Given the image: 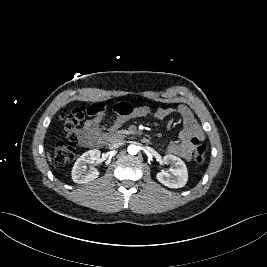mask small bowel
I'll return each instance as SVG.
<instances>
[{"label": "small bowel", "mask_w": 267, "mask_h": 267, "mask_svg": "<svg viewBox=\"0 0 267 267\" xmlns=\"http://www.w3.org/2000/svg\"><path fill=\"white\" fill-rule=\"evenodd\" d=\"M91 108L93 112L90 114V118L78 130L79 143L83 147H99L106 140L108 131H115L129 119L154 115L157 119L164 120L173 113H177L181 117L183 129L180 131L178 139L165 147V154L188 159L191 157L195 143L204 139L203 130L190 109L184 105L175 108L161 107L152 112L148 106L133 107L129 103H118L115 106L116 116L107 127L103 124L107 115L105 105L96 103Z\"/></svg>", "instance_id": "obj_1"}]
</instances>
